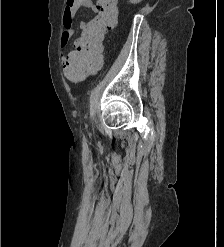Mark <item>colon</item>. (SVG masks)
<instances>
[{"instance_id": "colon-1", "label": "colon", "mask_w": 224, "mask_h": 247, "mask_svg": "<svg viewBox=\"0 0 224 247\" xmlns=\"http://www.w3.org/2000/svg\"><path fill=\"white\" fill-rule=\"evenodd\" d=\"M73 0H67L66 8L73 6ZM118 0H98L97 16L87 23L78 40V53L68 58L64 64L65 76L71 81H79L94 71L99 65L97 58L105 34L117 23Z\"/></svg>"}]
</instances>
